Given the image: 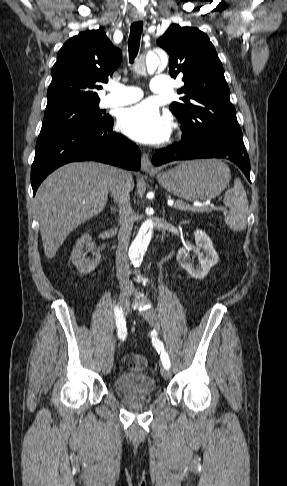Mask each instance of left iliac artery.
<instances>
[{"mask_svg": "<svg viewBox=\"0 0 287 486\" xmlns=\"http://www.w3.org/2000/svg\"><path fill=\"white\" fill-rule=\"evenodd\" d=\"M152 342H153V345H154L155 349L157 350V352L161 355V361H162L163 367L166 368V369H169L170 365H171L170 359H169L167 352L165 351L163 342L160 341L157 337H153Z\"/></svg>", "mask_w": 287, "mask_h": 486, "instance_id": "obj_1", "label": "left iliac artery"}]
</instances>
